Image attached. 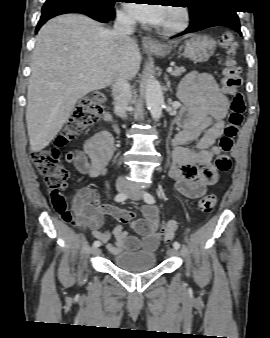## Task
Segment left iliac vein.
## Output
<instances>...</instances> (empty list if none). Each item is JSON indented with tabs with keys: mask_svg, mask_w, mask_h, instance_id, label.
Returning <instances> with one entry per match:
<instances>
[{
	"mask_svg": "<svg viewBox=\"0 0 270 338\" xmlns=\"http://www.w3.org/2000/svg\"><path fill=\"white\" fill-rule=\"evenodd\" d=\"M129 193V198L133 199V200H140L143 197V191L134 187V186H130V189L128 190ZM167 255L169 257H174L178 255V251L177 249H175L174 247L168 248L167 249Z\"/></svg>",
	"mask_w": 270,
	"mask_h": 338,
	"instance_id": "left-iliac-vein-1",
	"label": "left iliac vein"
}]
</instances>
